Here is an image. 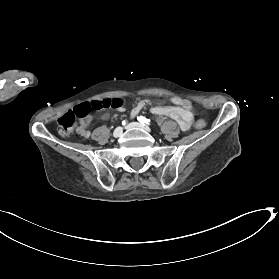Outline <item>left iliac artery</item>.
<instances>
[{
	"label": "left iliac artery",
	"mask_w": 279,
	"mask_h": 279,
	"mask_svg": "<svg viewBox=\"0 0 279 279\" xmlns=\"http://www.w3.org/2000/svg\"><path fill=\"white\" fill-rule=\"evenodd\" d=\"M137 119L143 125H150V120L143 116H139V117H137Z\"/></svg>",
	"instance_id": "1"
}]
</instances>
